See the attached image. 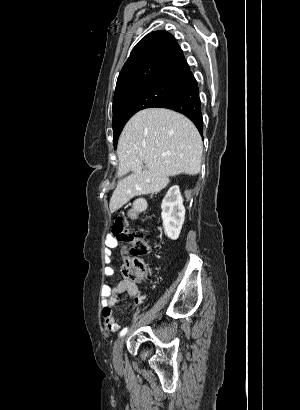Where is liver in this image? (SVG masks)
<instances>
[{
  "label": "liver",
  "mask_w": 300,
  "mask_h": 410,
  "mask_svg": "<svg viewBox=\"0 0 300 410\" xmlns=\"http://www.w3.org/2000/svg\"><path fill=\"white\" fill-rule=\"evenodd\" d=\"M202 152L201 136L184 115L164 108L136 113L125 125L117 146L118 174H132L118 182L110 200V212L114 213L134 196L161 191L170 176L198 174Z\"/></svg>",
  "instance_id": "liver-1"
}]
</instances>
